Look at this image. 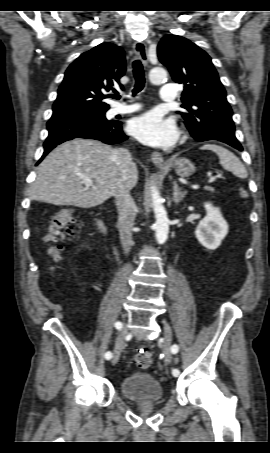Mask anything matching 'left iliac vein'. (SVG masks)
<instances>
[{
    "label": "left iliac vein",
    "mask_w": 270,
    "mask_h": 453,
    "mask_svg": "<svg viewBox=\"0 0 270 453\" xmlns=\"http://www.w3.org/2000/svg\"><path fill=\"white\" fill-rule=\"evenodd\" d=\"M164 326V341H163V352L165 355V361L167 363L171 362V345H172V329L170 325L164 321L163 322Z\"/></svg>",
    "instance_id": "obj_1"
}]
</instances>
